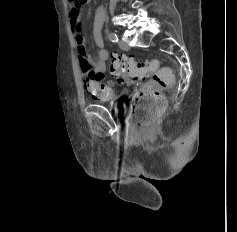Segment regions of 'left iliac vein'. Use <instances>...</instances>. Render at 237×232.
I'll return each instance as SVG.
<instances>
[{
  "mask_svg": "<svg viewBox=\"0 0 237 232\" xmlns=\"http://www.w3.org/2000/svg\"><path fill=\"white\" fill-rule=\"evenodd\" d=\"M119 47L122 50H129V48H130L129 45L126 42L122 41V40L119 41Z\"/></svg>",
  "mask_w": 237,
  "mask_h": 232,
  "instance_id": "obj_1",
  "label": "left iliac vein"
}]
</instances>
